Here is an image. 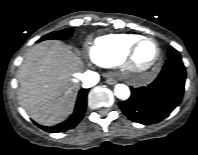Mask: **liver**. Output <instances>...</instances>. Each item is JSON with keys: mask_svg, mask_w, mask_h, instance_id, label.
I'll return each mask as SVG.
<instances>
[{"mask_svg": "<svg viewBox=\"0 0 198 155\" xmlns=\"http://www.w3.org/2000/svg\"><path fill=\"white\" fill-rule=\"evenodd\" d=\"M79 58L59 42L33 46L18 69L19 104L42 125H55L73 111Z\"/></svg>", "mask_w": 198, "mask_h": 155, "instance_id": "liver-1", "label": "liver"}]
</instances>
